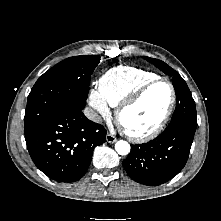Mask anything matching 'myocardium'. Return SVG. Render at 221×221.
Instances as JSON below:
<instances>
[{"label":"myocardium","instance_id":"1","mask_svg":"<svg viewBox=\"0 0 221 221\" xmlns=\"http://www.w3.org/2000/svg\"><path fill=\"white\" fill-rule=\"evenodd\" d=\"M161 82L168 84L170 87V90H171V98H170V102H169V105H168V108H167L165 114L163 115V117L161 118L159 123L150 131L137 133V132H133V131L129 130L124 125V122L122 120L123 113L127 109L136 105L143 98V96L145 95V93L147 92V90L149 88H151L152 86H154L158 83H161ZM175 103H176V90H175L173 83L167 78L156 77V78L144 83L143 85H141L137 90H135L131 95H129L126 99H124L118 105L117 110H116V120H117L119 126L121 127V129L123 130V132L125 133V135L130 140L135 141V142L146 141L151 138H154L164 129V127L168 123V121L173 113Z\"/></svg>","mask_w":221,"mask_h":221}]
</instances>
